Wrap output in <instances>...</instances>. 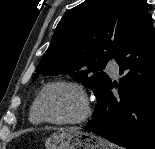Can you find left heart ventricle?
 <instances>
[{
  "label": "left heart ventricle",
  "instance_id": "b2bd125f",
  "mask_svg": "<svg viewBox=\"0 0 155 149\" xmlns=\"http://www.w3.org/2000/svg\"><path fill=\"white\" fill-rule=\"evenodd\" d=\"M41 108L50 119H73L81 114L82 99L71 87L53 86L44 93Z\"/></svg>",
  "mask_w": 155,
  "mask_h": 149
}]
</instances>
